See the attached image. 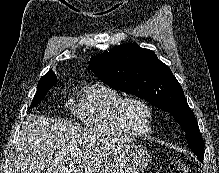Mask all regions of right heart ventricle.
Listing matches in <instances>:
<instances>
[{"instance_id":"e07e8e85","label":"right heart ventricle","mask_w":219,"mask_h":173,"mask_svg":"<svg viewBox=\"0 0 219 173\" xmlns=\"http://www.w3.org/2000/svg\"><path fill=\"white\" fill-rule=\"evenodd\" d=\"M123 96L114 88L94 82L83 87L70 103L73 117L83 126L106 134L133 135L117 120L116 107Z\"/></svg>"}]
</instances>
